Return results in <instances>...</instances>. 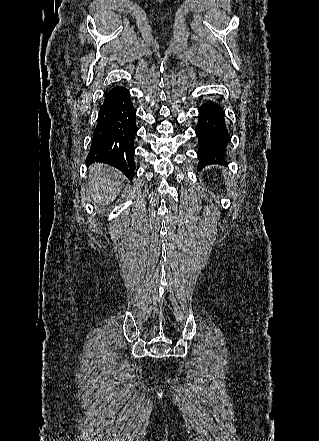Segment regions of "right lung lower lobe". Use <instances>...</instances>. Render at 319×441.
<instances>
[{"label": "right lung lower lobe", "instance_id": "obj_1", "mask_svg": "<svg viewBox=\"0 0 319 441\" xmlns=\"http://www.w3.org/2000/svg\"><path fill=\"white\" fill-rule=\"evenodd\" d=\"M136 110L129 90L116 86L104 95L87 162L114 166L129 179L134 177Z\"/></svg>", "mask_w": 319, "mask_h": 441}]
</instances>
